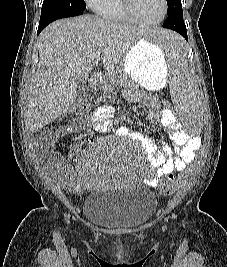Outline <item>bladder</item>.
I'll use <instances>...</instances> for the list:
<instances>
[{
    "label": "bladder",
    "mask_w": 227,
    "mask_h": 267,
    "mask_svg": "<svg viewBox=\"0 0 227 267\" xmlns=\"http://www.w3.org/2000/svg\"><path fill=\"white\" fill-rule=\"evenodd\" d=\"M157 200L145 186L93 188L83 204L87 221L105 229L136 228L155 214Z\"/></svg>",
    "instance_id": "31cf9c89"
}]
</instances>
